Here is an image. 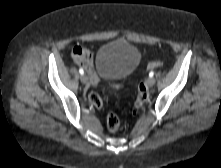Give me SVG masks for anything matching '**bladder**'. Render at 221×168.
<instances>
[{
    "label": "bladder",
    "mask_w": 221,
    "mask_h": 168,
    "mask_svg": "<svg viewBox=\"0 0 221 168\" xmlns=\"http://www.w3.org/2000/svg\"><path fill=\"white\" fill-rule=\"evenodd\" d=\"M139 50L125 40H115L102 45L96 54L98 73L107 80L130 75L140 62Z\"/></svg>",
    "instance_id": "1"
}]
</instances>
